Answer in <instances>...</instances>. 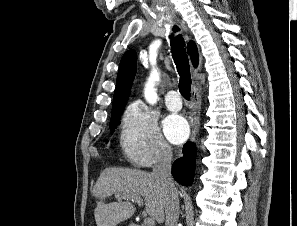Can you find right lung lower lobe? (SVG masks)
<instances>
[{"instance_id":"obj_1","label":"right lung lower lobe","mask_w":297,"mask_h":226,"mask_svg":"<svg viewBox=\"0 0 297 226\" xmlns=\"http://www.w3.org/2000/svg\"><path fill=\"white\" fill-rule=\"evenodd\" d=\"M184 156L177 159L172 166L175 180L185 186H191L194 178L196 147L193 143H186L183 147Z\"/></svg>"}]
</instances>
